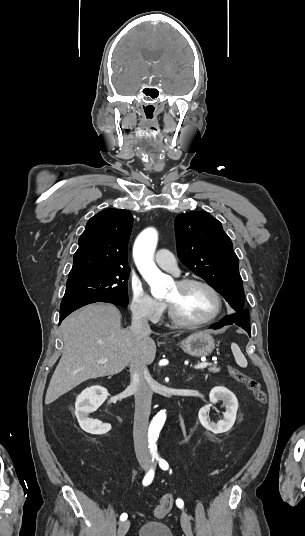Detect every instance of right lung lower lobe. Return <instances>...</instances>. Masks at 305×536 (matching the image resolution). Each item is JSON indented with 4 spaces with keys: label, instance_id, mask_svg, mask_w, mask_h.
Masks as SVG:
<instances>
[{
    "label": "right lung lower lobe",
    "instance_id": "1",
    "mask_svg": "<svg viewBox=\"0 0 305 536\" xmlns=\"http://www.w3.org/2000/svg\"><path fill=\"white\" fill-rule=\"evenodd\" d=\"M95 302H99V301L79 300V301L62 302L60 306V323L71 312L75 311L76 309L84 305L95 303Z\"/></svg>",
    "mask_w": 305,
    "mask_h": 536
}]
</instances>
